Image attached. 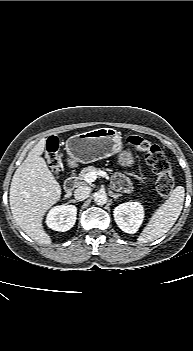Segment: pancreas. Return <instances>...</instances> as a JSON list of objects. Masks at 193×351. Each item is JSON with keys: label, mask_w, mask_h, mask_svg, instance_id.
Instances as JSON below:
<instances>
[{"label": "pancreas", "mask_w": 193, "mask_h": 351, "mask_svg": "<svg viewBox=\"0 0 193 351\" xmlns=\"http://www.w3.org/2000/svg\"><path fill=\"white\" fill-rule=\"evenodd\" d=\"M100 169L99 168H96L94 166H88V167H85L81 170V172L79 173L77 179L78 180H84V176L85 174L89 173V172H98Z\"/></svg>", "instance_id": "obj_1"}]
</instances>
